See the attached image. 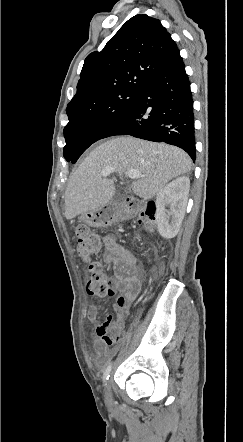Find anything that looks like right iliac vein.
<instances>
[{
  "mask_svg": "<svg viewBox=\"0 0 243 442\" xmlns=\"http://www.w3.org/2000/svg\"><path fill=\"white\" fill-rule=\"evenodd\" d=\"M105 394H106L107 401L109 403H111V401H112V393H111V383H110V381H108L106 383Z\"/></svg>",
  "mask_w": 243,
  "mask_h": 442,
  "instance_id": "63e3f726",
  "label": "right iliac vein"
}]
</instances>
